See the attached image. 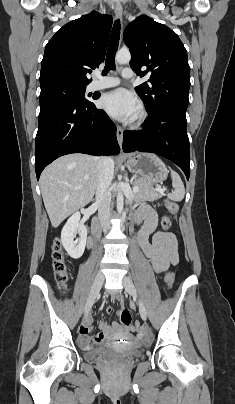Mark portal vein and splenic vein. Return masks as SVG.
Wrapping results in <instances>:
<instances>
[{
  "instance_id": "18ae733b",
  "label": "portal vein and splenic vein",
  "mask_w": 235,
  "mask_h": 404,
  "mask_svg": "<svg viewBox=\"0 0 235 404\" xmlns=\"http://www.w3.org/2000/svg\"><path fill=\"white\" fill-rule=\"evenodd\" d=\"M165 190H166V188H161V187H158V188L155 189V191H158V192H163ZM137 192H138V187H134L133 188V193H137Z\"/></svg>"
}]
</instances>
